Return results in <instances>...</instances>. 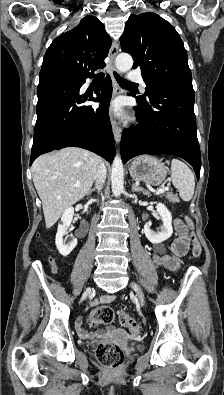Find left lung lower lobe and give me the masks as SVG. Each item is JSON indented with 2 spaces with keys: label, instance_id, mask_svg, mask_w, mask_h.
Listing matches in <instances>:
<instances>
[{
  "label": "left lung lower lobe",
  "instance_id": "0a47b994",
  "mask_svg": "<svg viewBox=\"0 0 224 395\" xmlns=\"http://www.w3.org/2000/svg\"><path fill=\"white\" fill-rule=\"evenodd\" d=\"M136 100L138 106L134 109L140 125L123 131V163L141 154H172L190 163L199 179L201 155L194 91L162 89L148 99L136 96Z\"/></svg>",
  "mask_w": 224,
  "mask_h": 395
}]
</instances>
